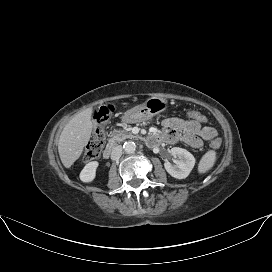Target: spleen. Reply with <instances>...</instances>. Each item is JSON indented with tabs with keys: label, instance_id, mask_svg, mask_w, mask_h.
I'll return each instance as SVG.
<instances>
[{
	"label": "spleen",
	"instance_id": "3e777b00",
	"mask_svg": "<svg viewBox=\"0 0 272 272\" xmlns=\"http://www.w3.org/2000/svg\"><path fill=\"white\" fill-rule=\"evenodd\" d=\"M216 161V152L213 150L208 151L200 160L198 165V172L205 173L211 169Z\"/></svg>",
	"mask_w": 272,
	"mask_h": 272
}]
</instances>
